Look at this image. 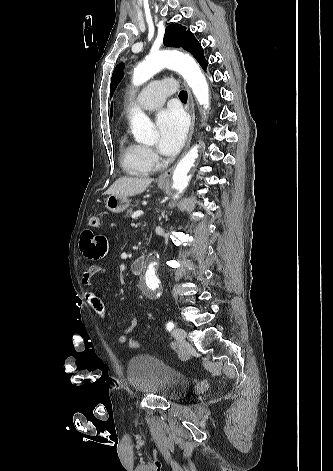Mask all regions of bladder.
Here are the masks:
<instances>
[{
  "instance_id": "bladder-1",
  "label": "bladder",
  "mask_w": 333,
  "mask_h": 471,
  "mask_svg": "<svg viewBox=\"0 0 333 471\" xmlns=\"http://www.w3.org/2000/svg\"><path fill=\"white\" fill-rule=\"evenodd\" d=\"M127 379L136 392L168 401L181 399L190 388V381L183 373L148 354H139L129 360Z\"/></svg>"
}]
</instances>
